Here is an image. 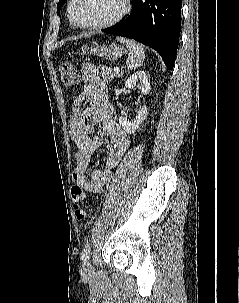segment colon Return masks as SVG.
<instances>
[{"label": "colon", "mask_w": 239, "mask_h": 303, "mask_svg": "<svg viewBox=\"0 0 239 303\" xmlns=\"http://www.w3.org/2000/svg\"><path fill=\"white\" fill-rule=\"evenodd\" d=\"M59 70H60L62 84L64 86L70 87L79 82L80 80L79 71L72 62L69 61L62 62L59 66ZM71 195H72V200L74 202L75 215L78 220L82 221L85 219L86 216L85 210L81 207V204L85 200L83 189L78 185H74L71 188Z\"/></svg>", "instance_id": "1"}]
</instances>
